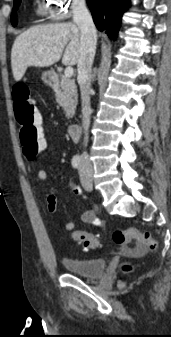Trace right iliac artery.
Listing matches in <instances>:
<instances>
[{
	"instance_id": "82829eb1",
	"label": "right iliac artery",
	"mask_w": 171,
	"mask_h": 337,
	"mask_svg": "<svg viewBox=\"0 0 171 337\" xmlns=\"http://www.w3.org/2000/svg\"><path fill=\"white\" fill-rule=\"evenodd\" d=\"M80 164H81V158L79 156H74L72 159V166L74 168H79Z\"/></svg>"
}]
</instances>
